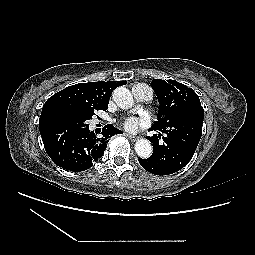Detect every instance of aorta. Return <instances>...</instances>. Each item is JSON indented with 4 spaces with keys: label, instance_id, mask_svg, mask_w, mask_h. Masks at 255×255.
<instances>
[{
    "label": "aorta",
    "instance_id": "762f6f07",
    "mask_svg": "<svg viewBox=\"0 0 255 255\" xmlns=\"http://www.w3.org/2000/svg\"><path fill=\"white\" fill-rule=\"evenodd\" d=\"M113 100L121 109H130L134 105L131 92L124 86L113 91ZM135 151L140 158L147 159L152 155V146L147 139H139L135 143Z\"/></svg>",
    "mask_w": 255,
    "mask_h": 255
}]
</instances>
